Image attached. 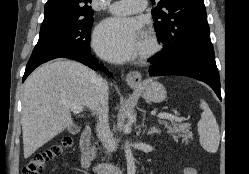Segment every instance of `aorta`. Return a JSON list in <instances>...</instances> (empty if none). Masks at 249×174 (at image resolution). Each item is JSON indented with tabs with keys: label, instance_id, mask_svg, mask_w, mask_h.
Listing matches in <instances>:
<instances>
[{
	"label": "aorta",
	"instance_id": "aorta-1",
	"mask_svg": "<svg viewBox=\"0 0 249 174\" xmlns=\"http://www.w3.org/2000/svg\"><path fill=\"white\" fill-rule=\"evenodd\" d=\"M126 115L128 118H131L132 113L130 111H127ZM123 130L125 131V133H130L131 132L130 124H126ZM125 156H126V161H127V173L135 174L136 167H135L134 157L130 149V146L128 144L125 145Z\"/></svg>",
	"mask_w": 249,
	"mask_h": 174
}]
</instances>
